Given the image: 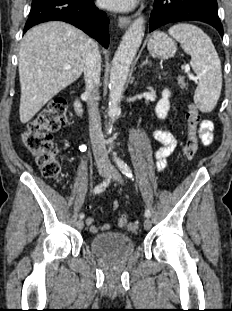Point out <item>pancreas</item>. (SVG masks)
Here are the masks:
<instances>
[{"label": "pancreas", "mask_w": 232, "mask_h": 311, "mask_svg": "<svg viewBox=\"0 0 232 311\" xmlns=\"http://www.w3.org/2000/svg\"><path fill=\"white\" fill-rule=\"evenodd\" d=\"M178 84H179V86H180L181 89L186 88V84L184 83V80H183L182 78H180V79L178 80Z\"/></svg>", "instance_id": "obj_1"}]
</instances>
